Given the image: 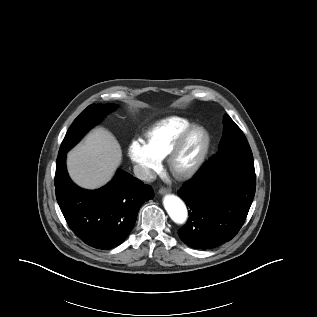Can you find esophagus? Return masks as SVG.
<instances>
[{"label":"esophagus","mask_w":317,"mask_h":317,"mask_svg":"<svg viewBox=\"0 0 317 317\" xmlns=\"http://www.w3.org/2000/svg\"><path fill=\"white\" fill-rule=\"evenodd\" d=\"M171 189L170 188H166V187H162L159 189V194H166V193H170Z\"/></svg>","instance_id":"esophagus-1"}]
</instances>
